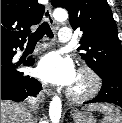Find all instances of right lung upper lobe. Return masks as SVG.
Instances as JSON below:
<instances>
[{
	"mask_svg": "<svg viewBox=\"0 0 122 123\" xmlns=\"http://www.w3.org/2000/svg\"><path fill=\"white\" fill-rule=\"evenodd\" d=\"M44 6L37 0H1V45L24 44L32 25L38 24Z\"/></svg>",
	"mask_w": 122,
	"mask_h": 123,
	"instance_id": "right-lung-upper-lobe-1",
	"label": "right lung upper lobe"
}]
</instances>
